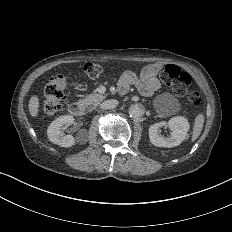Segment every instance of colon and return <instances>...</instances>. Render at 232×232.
<instances>
[{
    "label": "colon",
    "mask_w": 232,
    "mask_h": 232,
    "mask_svg": "<svg viewBox=\"0 0 232 232\" xmlns=\"http://www.w3.org/2000/svg\"><path fill=\"white\" fill-rule=\"evenodd\" d=\"M99 72H104V67H97L93 62H88L82 68V73H85L90 79L98 77ZM162 82L167 87H175V94L188 103V107H201V96L191 86V79L181 69L174 65H168L161 71ZM56 79L59 82H64V77L61 74H56ZM64 84H56L55 81H48L44 84V97L39 98V103L44 107V114H57L59 102H66V95H62Z\"/></svg>",
    "instance_id": "1"
}]
</instances>
